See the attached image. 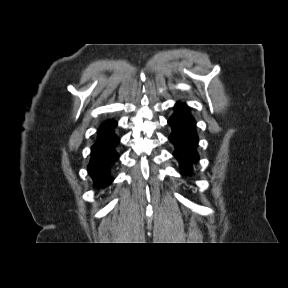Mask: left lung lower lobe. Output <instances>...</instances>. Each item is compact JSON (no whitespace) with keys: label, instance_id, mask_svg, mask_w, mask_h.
<instances>
[{"label":"left lung lower lobe","instance_id":"0a47b994","mask_svg":"<svg viewBox=\"0 0 288 288\" xmlns=\"http://www.w3.org/2000/svg\"><path fill=\"white\" fill-rule=\"evenodd\" d=\"M168 124L172 127L169 140L175 146L173 155L180 162L182 174H190L193 165L199 160L196 150L198 135L196 122L185 103L175 105V112L168 120Z\"/></svg>","mask_w":288,"mask_h":288}]
</instances>
